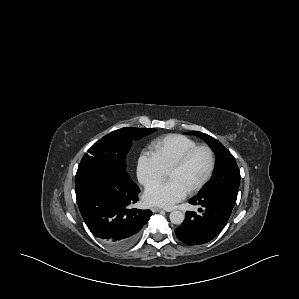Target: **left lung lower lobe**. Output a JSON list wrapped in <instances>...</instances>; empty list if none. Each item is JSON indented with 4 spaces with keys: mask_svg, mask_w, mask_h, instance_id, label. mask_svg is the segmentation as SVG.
<instances>
[{
    "mask_svg": "<svg viewBox=\"0 0 299 299\" xmlns=\"http://www.w3.org/2000/svg\"><path fill=\"white\" fill-rule=\"evenodd\" d=\"M189 202L202 208L201 214L187 211L184 222L175 229L176 236L187 245H201L215 238L227 224L236 203L223 193L198 195Z\"/></svg>",
    "mask_w": 299,
    "mask_h": 299,
    "instance_id": "obj_1",
    "label": "left lung lower lobe"
}]
</instances>
